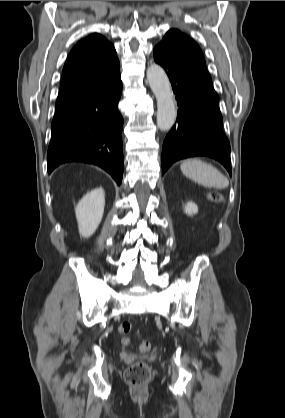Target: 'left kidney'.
Wrapping results in <instances>:
<instances>
[{"mask_svg": "<svg viewBox=\"0 0 285 418\" xmlns=\"http://www.w3.org/2000/svg\"><path fill=\"white\" fill-rule=\"evenodd\" d=\"M184 212L187 215L191 216V215L196 214L198 212V207L194 202L189 201V202L186 203V205L184 207Z\"/></svg>", "mask_w": 285, "mask_h": 418, "instance_id": "1", "label": "left kidney"}]
</instances>
